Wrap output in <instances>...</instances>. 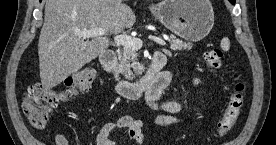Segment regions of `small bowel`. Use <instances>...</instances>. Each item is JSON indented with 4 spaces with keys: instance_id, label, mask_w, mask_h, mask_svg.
I'll use <instances>...</instances> for the list:
<instances>
[{
    "instance_id": "1",
    "label": "small bowel",
    "mask_w": 276,
    "mask_h": 145,
    "mask_svg": "<svg viewBox=\"0 0 276 145\" xmlns=\"http://www.w3.org/2000/svg\"><path fill=\"white\" fill-rule=\"evenodd\" d=\"M168 73L171 79V73ZM161 93L162 91H151L145 94V101L148 106L159 112L156 123L163 126L180 123L178 103L175 101H160ZM143 128L144 124L141 120L128 115L122 116L116 121L106 122L98 130L95 136V145H116V142L110 137L111 133L116 129L125 130L128 139L134 145H143ZM55 143L56 145H69L66 136L60 133L55 135Z\"/></svg>"
}]
</instances>
